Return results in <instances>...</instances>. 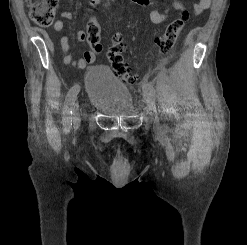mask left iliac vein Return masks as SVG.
<instances>
[{
  "instance_id": "4c4485c4",
  "label": "left iliac vein",
  "mask_w": 247,
  "mask_h": 245,
  "mask_svg": "<svg viewBox=\"0 0 247 245\" xmlns=\"http://www.w3.org/2000/svg\"><path fill=\"white\" fill-rule=\"evenodd\" d=\"M144 99L145 102L148 106V108L154 113L155 118H154V126L156 129H160V123H159V118L157 115V109H156V104H155V100L153 98L152 95H149L147 93L144 94Z\"/></svg>"
}]
</instances>
